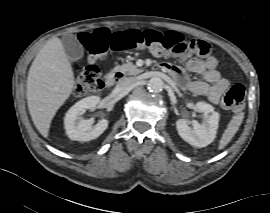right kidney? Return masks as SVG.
Returning a JSON list of instances; mask_svg holds the SVG:
<instances>
[{
	"instance_id": "right-kidney-1",
	"label": "right kidney",
	"mask_w": 270,
	"mask_h": 213,
	"mask_svg": "<svg viewBox=\"0 0 270 213\" xmlns=\"http://www.w3.org/2000/svg\"><path fill=\"white\" fill-rule=\"evenodd\" d=\"M100 102V97H86L74 104L66 113L64 127L71 140L89 141L99 137L108 127V120L103 119L92 126L93 120H84L81 116L88 109H94Z\"/></svg>"
}]
</instances>
